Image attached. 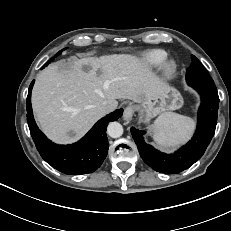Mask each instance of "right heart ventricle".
<instances>
[{
  "mask_svg": "<svg viewBox=\"0 0 231 231\" xmlns=\"http://www.w3.org/2000/svg\"><path fill=\"white\" fill-rule=\"evenodd\" d=\"M168 58V53L163 49H150L145 51L139 59V68L144 71H152L162 66Z\"/></svg>",
  "mask_w": 231,
  "mask_h": 231,
  "instance_id": "right-heart-ventricle-1",
  "label": "right heart ventricle"
}]
</instances>
